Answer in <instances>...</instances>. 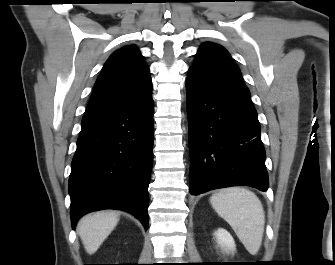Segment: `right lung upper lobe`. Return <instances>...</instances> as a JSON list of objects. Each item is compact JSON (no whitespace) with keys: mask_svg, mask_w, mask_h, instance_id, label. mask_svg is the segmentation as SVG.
I'll return each instance as SVG.
<instances>
[{"mask_svg":"<svg viewBox=\"0 0 335 265\" xmlns=\"http://www.w3.org/2000/svg\"><path fill=\"white\" fill-rule=\"evenodd\" d=\"M149 68L139 49L125 46L105 63L85 113L121 108L151 95Z\"/></svg>","mask_w":335,"mask_h":265,"instance_id":"1","label":"right lung upper lobe"}]
</instances>
